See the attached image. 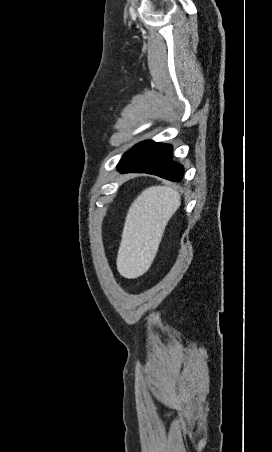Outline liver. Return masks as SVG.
<instances>
[{
  "label": "liver",
  "instance_id": "1",
  "mask_svg": "<svg viewBox=\"0 0 272 452\" xmlns=\"http://www.w3.org/2000/svg\"><path fill=\"white\" fill-rule=\"evenodd\" d=\"M180 205L179 192L170 186H152L137 196L128 210L117 255L121 276L135 279L148 271Z\"/></svg>",
  "mask_w": 272,
  "mask_h": 452
}]
</instances>
